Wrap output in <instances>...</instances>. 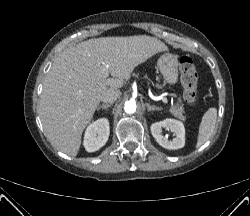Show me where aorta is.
Instances as JSON below:
<instances>
[{"mask_svg":"<svg viewBox=\"0 0 250 216\" xmlns=\"http://www.w3.org/2000/svg\"><path fill=\"white\" fill-rule=\"evenodd\" d=\"M136 108H137V106H136L135 102H133V101L125 102L124 110H125L126 113L132 114V113H134L136 111Z\"/></svg>","mask_w":250,"mask_h":216,"instance_id":"762f6f07","label":"aorta"}]
</instances>
